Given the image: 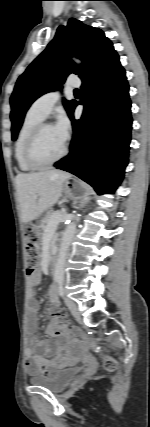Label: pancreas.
<instances>
[{"label": "pancreas", "instance_id": "cf45deb5", "mask_svg": "<svg viewBox=\"0 0 150 427\" xmlns=\"http://www.w3.org/2000/svg\"><path fill=\"white\" fill-rule=\"evenodd\" d=\"M56 214H59L61 217H63L66 213L62 212V211H57V212H52L50 214L47 215V217L44 219L43 224L40 225V228L42 230V232L39 233V235H44V230L47 228L45 226V224H50V222H52L53 220H55V216ZM65 220L64 218L59 219L58 221H56L55 223H53L52 228L56 229L57 226L63 221Z\"/></svg>", "mask_w": 150, "mask_h": 427}]
</instances>
